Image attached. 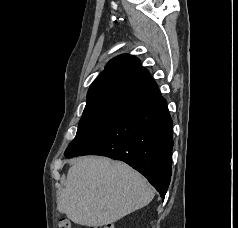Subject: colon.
<instances>
[{
	"label": "colon",
	"instance_id": "5ec220e1",
	"mask_svg": "<svg viewBox=\"0 0 238 228\" xmlns=\"http://www.w3.org/2000/svg\"><path fill=\"white\" fill-rule=\"evenodd\" d=\"M59 228H71L70 222L66 218H62L59 221ZM92 228H115L113 224H107L104 226L92 227Z\"/></svg>",
	"mask_w": 238,
	"mask_h": 228
}]
</instances>
